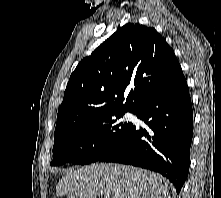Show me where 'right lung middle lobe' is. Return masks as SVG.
Segmentation results:
<instances>
[{
	"label": "right lung middle lobe",
	"mask_w": 221,
	"mask_h": 198,
	"mask_svg": "<svg viewBox=\"0 0 221 198\" xmlns=\"http://www.w3.org/2000/svg\"><path fill=\"white\" fill-rule=\"evenodd\" d=\"M119 112L99 119L88 126L54 138L51 165L73 163L85 165L97 161L120 143L131 129V123H118Z\"/></svg>",
	"instance_id": "right-lung-middle-lobe-1"
}]
</instances>
